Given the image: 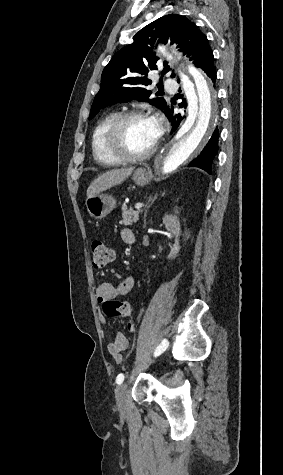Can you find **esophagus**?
I'll list each match as a JSON object with an SVG mask.
<instances>
[{"label":"esophagus","instance_id":"esophagus-1","mask_svg":"<svg viewBox=\"0 0 283 475\" xmlns=\"http://www.w3.org/2000/svg\"><path fill=\"white\" fill-rule=\"evenodd\" d=\"M156 162L160 161V155L158 157H156Z\"/></svg>","mask_w":283,"mask_h":475}]
</instances>
